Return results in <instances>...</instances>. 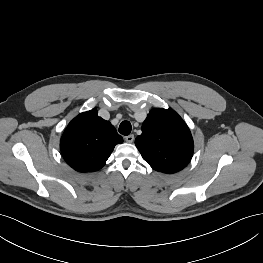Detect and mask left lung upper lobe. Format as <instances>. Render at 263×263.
Segmentation results:
<instances>
[{"label": "left lung upper lobe", "mask_w": 263, "mask_h": 263, "mask_svg": "<svg viewBox=\"0 0 263 263\" xmlns=\"http://www.w3.org/2000/svg\"><path fill=\"white\" fill-rule=\"evenodd\" d=\"M135 145L143 159L163 173L186 167L194 148L191 132L182 118L172 109L159 108L150 111Z\"/></svg>", "instance_id": "5c2ea615"}]
</instances>
